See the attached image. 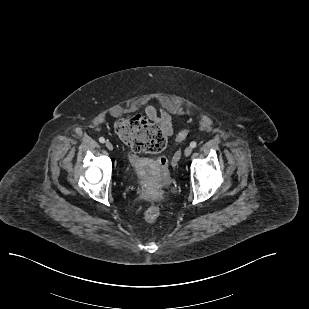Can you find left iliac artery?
Wrapping results in <instances>:
<instances>
[{
  "mask_svg": "<svg viewBox=\"0 0 309 309\" xmlns=\"http://www.w3.org/2000/svg\"><path fill=\"white\" fill-rule=\"evenodd\" d=\"M197 146V143L195 141L191 142L190 143V147L191 148H195Z\"/></svg>",
  "mask_w": 309,
  "mask_h": 309,
  "instance_id": "left-iliac-artery-1",
  "label": "left iliac artery"
}]
</instances>
